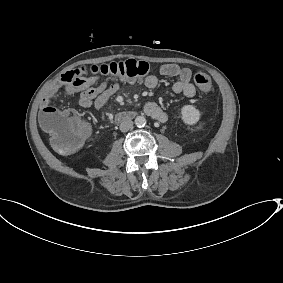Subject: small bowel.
I'll return each mask as SVG.
<instances>
[{"label": "small bowel", "instance_id": "1", "mask_svg": "<svg viewBox=\"0 0 283 283\" xmlns=\"http://www.w3.org/2000/svg\"><path fill=\"white\" fill-rule=\"evenodd\" d=\"M159 74L166 77L176 78L172 85V90L176 94H183L191 98L196 94V88L191 83L192 72L188 68H181L177 64H164L159 68ZM70 75V78H67ZM158 77L154 74L148 75L144 79V84L148 88L158 86ZM120 86L117 82L99 83L95 77L86 76L80 72V69L62 74L46 90L41 101L42 111L48 108H54L51 100L56 96L59 90H64L67 94L80 93L79 104L87 109L99 110L107 101L118 92ZM144 113L152 119L165 123L168 120L167 113L155 102H147L143 107Z\"/></svg>", "mask_w": 283, "mask_h": 283}]
</instances>
